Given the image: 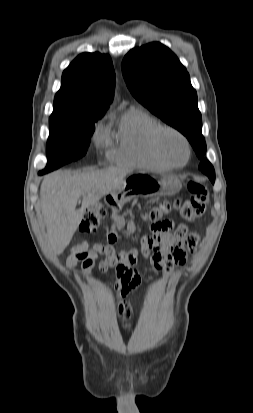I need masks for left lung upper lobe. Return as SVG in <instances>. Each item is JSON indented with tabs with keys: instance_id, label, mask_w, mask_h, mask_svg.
<instances>
[{
	"instance_id": "1",
	"label": "left lung upper lobe",
	"mask_w": 253,
	"mask_h": 413,
	"mask_svg": "<svg viewBox=\"0 0 253 413\" xmlns=\"http://www.w3.org/2000/svg\"><path fill=\"white\" fill-rule=\"evenodd\" d=\"M122 73L141 104L187 137L201 159L199 169L214 183V168L203 158L206 143L197 94L177 56L163 44L153 42L130 50L122 61Z\"/></svg>"
}]
</instances>
